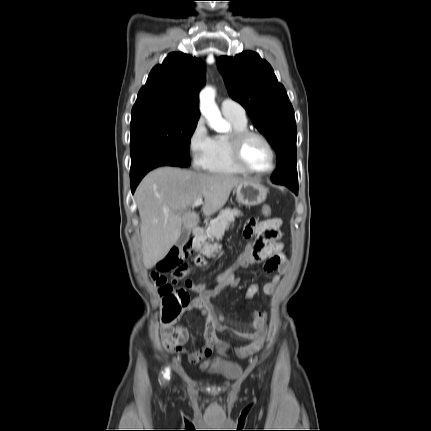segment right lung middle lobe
<instances>
[{
  "label": "right lung middle lobe",
  "mask_w": 431,
  "mask_h": 431,
  "mask_svg": "<svg viewBox=\"0 0 431 431\" xmlns=\"http://www.w3.org/2000/svg\"><path fill=\"white\" fill-rule=\"evenodd\" d=\"M198 119L174 116L145 115L131 119V160L143 157L153 150L176 156L190 165V138Z\"/></svg>",
  "instance_id": "1"
}]
</instances>
